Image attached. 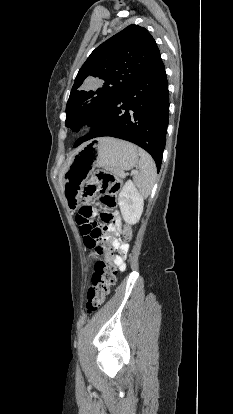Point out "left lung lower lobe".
Segmentation results:
<instances>
[{
	"instance_id": "obj_1",
	"label": "left lung lower lobe",
	"mask_w": 233,
	"mask_h": 414,
	"mask_svg": "<svg viewBox=\"0 0 233 414\" xmlns=\"http://www.w3.org/2000/svg\"><path fill=\"white\" fill-rule=\"evenodd\" d=\"M168 114V81L159 54L107 111L90 123L91 131L80 138L74 147L102 136L127 140L146 150L155 160L159 171L166 142Z\"/></svg>"
}]
</instances>
